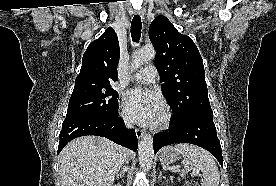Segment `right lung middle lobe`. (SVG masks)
Returning <instances> with one entry per match:
<instances>
[{"instance_id": "right-lung-middle-lobe-1", "label": "right lung middle lobe", "mask_w": 276, "mask_h": 186, "mask_svg": "<svg viewBox=\"0 0 276 186\" xmlns=\"http://www.w3.org/2000/svg\"><path fill=\"white\" fill-rule=\"evenodd\" d=\"M118 94L111 86L74 88L66 118L78 115L108 116L118 109Z\"/></svg>"}]
</instances>
